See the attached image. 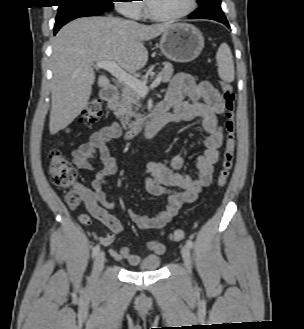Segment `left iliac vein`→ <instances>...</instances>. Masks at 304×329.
I'll list each match as a JSON object with an SVG mask.
<instances>
[{
	"label": "left iliac vein",
	"instance_id": "left-iliac-vein-1",
	"mask_svg": "<svg viewBox=\"0 0 304 329\" xmlns=\"http://www.w3.org/2000/svg\"><path fill=\"white\" fill-rule=\"evenodd\" d=\"M181 254H182L184 265L187 269V272L189 274H191V255H190V249L187 245H184L181 248Z\"/></svg>",
	"mask_w": 304,
	"mask_h": 329
}]
</instances>
